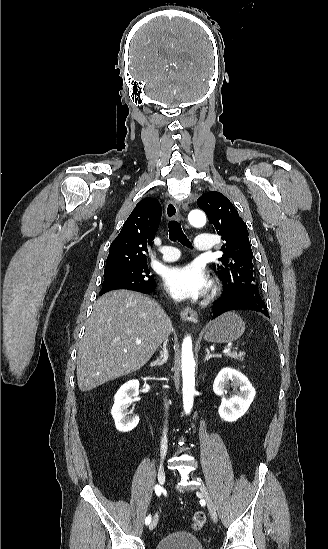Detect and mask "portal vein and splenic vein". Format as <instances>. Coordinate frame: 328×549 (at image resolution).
Segmentation results:
<instances>
[{"label":"portal vein and splenic vein","mask_w":328,"mask_h":549,"mask_svg":"<svg viewBox=\"0 0 328 549\" xmlns=\"http://www.w3.org/2000/svg\"><path fill=\"white\" fill-rule=\"evenodd\" d=\"M136 345H141V341H139V339H137L136 341ZM223 353H230V349L229 348H226Z\"/></svg>","instance_id":"portal-vein-and-splenic-vein-1"}]
</instances>
